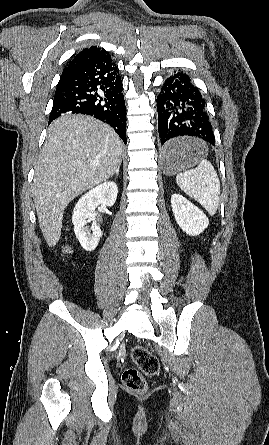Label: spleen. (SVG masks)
Returning a JSON list of instances; mask_svg holds the SVG:
<instances>
[{
  "label": "spleen",
  "instance_id": "3e777b00",
  "mask_svg": "<svg viewBox=\"0 0 269 445\" xmlns=\"http://www.w3.org/2000/svg\"><path fill=\"white\" fill-rule=\"evenodd\" d=\"M176 181L181 190L198 201L210 215L219 206L220 181L212 164L201 159L199 165L183 173H178Z\"/></svg>",
  "mask_w": 269,
  "mask_h": 445
}]
</instances>
